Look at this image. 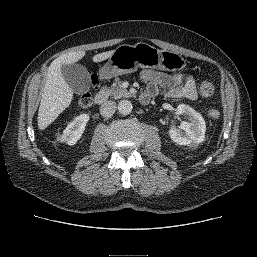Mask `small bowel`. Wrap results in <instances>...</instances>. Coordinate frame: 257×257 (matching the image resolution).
<instances>
[{
    "label": "small bowel",
    "instance_id": "small-bowel-1",
    "mask_svg": "<svg viewBox=\"0 0 257 257\" xmlns=\"http://www.w3.org/2000/svg\"><path fill=\"white\" fill-rule=\"evenodd\" d=\"M140 78L145 84V89L140 96L147 97L149 100L158 96L161 88L164 90L163 95L169 99L194 100L198 96L196 80L189 74L144 70Z\"/></svg>",
    "mask_w": 257,
    "mask_h": 257
}]
</instances>
